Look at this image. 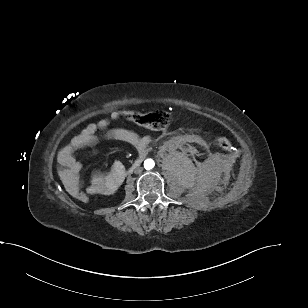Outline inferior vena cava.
<instances>
[{
  "mask_svg": "<svg viewBox=\"0 0 308 308\" xmlns=\"http://www.w3.org/2000/svg\"><path fill=\"white\" fill-rule=\"evenodd\" d=\"M142 170L143 169L141 167H138V168L135 169V173L140 174L142 172Z\"/></svg>",
  "mask_w": 308,
  "mask_h": 308,
  "instance_id": "602c4592",
  "label": "inferior vena cava"
}]
</instances>
